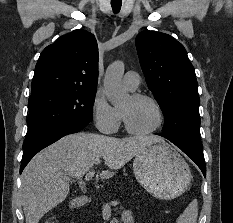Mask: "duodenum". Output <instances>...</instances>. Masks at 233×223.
<instances>
[{"label": "duodenum", "instance_id": "duodenum-1", "mask_svg": "<svg viewBox=\"0 0 233 223\" xmlns=\"http://www.w3.org/2000/svg\"><path fill=\"white\" fill-rule=\"evenodd\" d=\"M87 201H88V198L86 195H80L70 202L69 208L71 210L80 208V207L84 206L87 203Z\"/></svg>", "mask_w": 233, "mask_h": 223}]
</instances>
